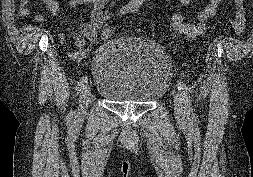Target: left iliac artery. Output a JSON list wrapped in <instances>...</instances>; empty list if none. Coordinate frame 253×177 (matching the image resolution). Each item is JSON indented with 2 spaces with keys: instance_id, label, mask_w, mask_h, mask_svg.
<instances>
[{
  "instance_id": "1",
  "label": "left iliac artery",
  "mask_w": 253,
  "mask_h": 177,
  "mask_svg": "<svg viewBox=\"0 0 253 177\" xmlns=\"http://www.w3.org/2000/svg\"><path fill=\"white\" fill-rule=\"evenodd\" d=\"M177 87H178V90L180 91V96L182 97L183 102L185 103V106H186L185 111L191 121V124L194 125L195 124V115L193 113L192 100H191V96H190L188 87L182 81L177 82Z\"/></svg>"
}]
</instances>
